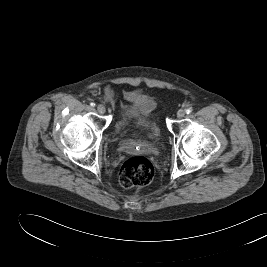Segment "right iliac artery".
<instances>
[{
  "instance_id": "obj_1",
  "label": "right iliac artery",
  "mask_w": 267,
  "mask_h": 267,
  "mask_svg": "<svg viewBox=\"0 0 267 267\" xmlns=\"http://www.w3.org/2000/svg\"><path fill=\"white\" fill-rule=\"evenodd\" d=\"M90 106H91V107H94V106H95V103L91 102V103H90Z\"/></svg>"
}]
</instances>
